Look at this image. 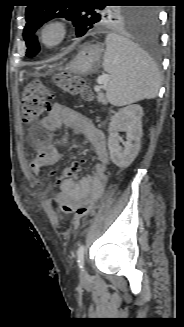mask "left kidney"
Masks as SVG:
<instances>
[{
    "instance_id": "1",
    "label": "left kidney",
    "mask_w": 184,
    "mask_h": 327,
    "mask_svg": "<svg viewBox=\"0 0 184 327\" xmlns=\"http://www.w3.org/2000/svg\"><path fill=\"white\" fill-rule=\"evenodd\" d=\"M143 109L134 104L119 109L108 127V148L111 161L120 168H127L137 157L142 138ZM119 131H125L127 141L124 148L119 145Z\"/></svg>"
}]
</instances>
